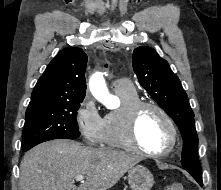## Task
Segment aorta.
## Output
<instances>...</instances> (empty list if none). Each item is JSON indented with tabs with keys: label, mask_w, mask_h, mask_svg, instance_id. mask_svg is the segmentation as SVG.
Here are the masks:
<instances>
[{
	"label": "aorta",
	"mask_w": 221,
	"mask_h": 190,
	"mask_svg": "<svg viewBox=\"0 0 221 190\" xmlns=\"http://www.w3.org/2000/svg\"><path fill=\"white\" fill-rule=\"evenodd\" d=\"M89 88L92 95L105 106L109 107L112 96L109 94L105 80L101 73H95L90 81Z\"/></svg>",
	"instance_id": "obj_1"
}]
</instances>
